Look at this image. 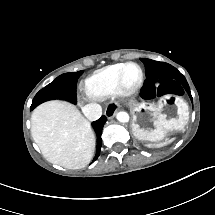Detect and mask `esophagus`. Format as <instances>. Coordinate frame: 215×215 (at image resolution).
<instances>
[{"label": "esophagus", "instance_id": "34e87169", "mask_svg": "<svg viewBox=\"0 0 215 215\" xmlns=\"http://www.w3.org/2000/svg\"><path fill=\"white\" fill-rule=\"evenodd\" d=\"M119 109V104L116 102L110 103L105 110V115L108 119H112L116 114V111Z\"/></svg>", "mask_w": 215, "mask_h": 215}]
</instances>
